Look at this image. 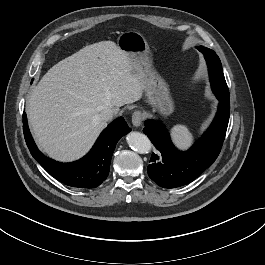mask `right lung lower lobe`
<instances>
[{
  "label": "right lung lower lobe",
  "instance_id": "98d812e1",
  "mask_svg": "<svg viewBox=\"0 0 265 265\" xmlns=\"http://www.w3.org/2000/svg\"><path fill=\"white\" fill-rule=\"evenodd\" d=\"M23 131L32 156L51 176L71 187L95 188L109 174L110 161L117 142L131 129L123 117L117 118L101 133L90 152L72 163L54 161L38 150L30 134L25 113H23Z\"/></svg>",
  "mask_w": 265,
  "mask_h": 265
}]
</instances>
